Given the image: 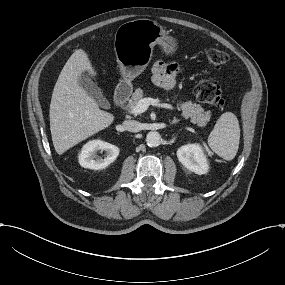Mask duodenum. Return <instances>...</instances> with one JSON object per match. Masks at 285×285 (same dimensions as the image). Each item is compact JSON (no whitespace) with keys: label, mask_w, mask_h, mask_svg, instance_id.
Here are the masks:
<instances>
[{"label":"duodenum","mask_w":285,"mask_h":285,"mask_svg":"<svg viewBox=\"0 0 285 285\" xmlns=\"http://www.w3.org/2000/svg\"><path fill=\"white\" fill-rule=\"evenodd\" d=\"M131 86L129 84L120 85L115 92L114 102L117 106L123 105L130 97Z\"/></svg>","instance_id":"obj_1"}]
</instances>
